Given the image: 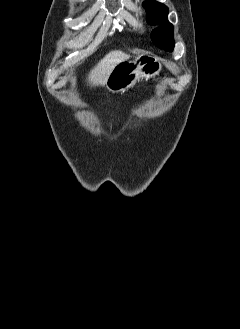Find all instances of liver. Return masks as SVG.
<instances>
[{
	"instance_id": "1",
	"label": "liver",
	"mask_w": 240,
	"mask_h": 329,
	"mask_svg": "<svg viewBox=\"0 0 240 329\" xmlns=\"http://www.w3.org/2000/svg\"><path fill=\"white\" fill-rule=\"evenodd\" d=\"M130 55L120 50L109 52L99 63L90 71L88 75V82L93 86L105 85L108 76L115 68V66L129 59Z\"/></svg>"
}]
</instances>
